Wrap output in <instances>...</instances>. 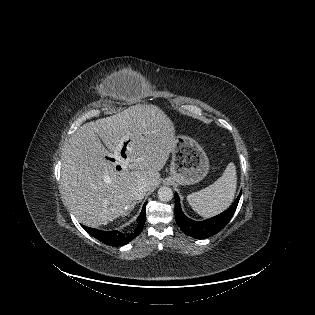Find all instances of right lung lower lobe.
<instances>
[{
  "instance_id": "right-lung-lower-lobe-1",
  "label": "right lung lower lobe",
  "mask_w": 315,
  "mask_h": 315,
  "mask_svg": "<svg viewBox=\"0 0 315 315\" xmlns=\"http://www.w3.org/2000/svg\"><path fill=\"white\" fill-rule=\"evenodd\" d=\"M146 220V203L143 205L142 211L140 213V215L137 218V222H138V226L136 228V230L134 231V233H130V234H123L117 230L115 231H101V230H97V229H93V228H89L86 226L82 227L93 237H95L96 239H98L99 241L111 245V246H122L127 244L128 242H130L132 239H134L135 237H137L143 227H144V223Z\"/></svg>"
}]
</instances>
